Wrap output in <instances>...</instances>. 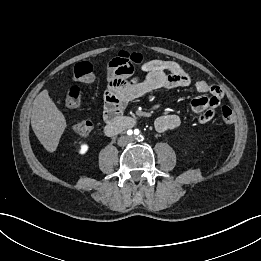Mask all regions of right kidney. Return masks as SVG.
<instances>
[{"mask_svg":"<svg viewBox=\"0 0 261 261\" xmlns=\"http://www.w3.org/2000/svg\"><path fill=\"white\" fill-rule=\"evenodd\" d=\"M87 150H88V145L87 144H82L81 148L79 150V153L80 154H85L87 152Z\"/></svg>","mask_w":261,"mask_h":261,"instance_id":"right-kidney-1","label":"right kidney"}]
</instances>
